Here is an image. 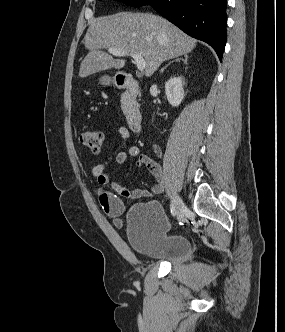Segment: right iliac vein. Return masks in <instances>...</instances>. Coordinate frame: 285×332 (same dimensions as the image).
I'll return each mask as SVG.
<instances>
[{
  "mask_svg": "<svg viewBox=\"0 0 285 332\" xmlns=\"http://www.w3.org/2000/svg\"><path fill=\"white\" fill-rule=\"evenodd\" d=\"M174 206L176 209V216L178 219H182L184 216L185 205L182 198L178 195H174Z\"/></svg>",
  "mask_w": 285,
  "mask_h": 332,
  "instance_id": "63e3f726",
  "label": "right iliac vein"
}]
</instances>
